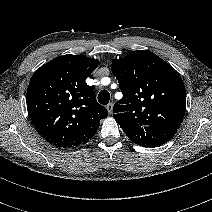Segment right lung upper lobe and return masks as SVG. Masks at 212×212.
<instances>
[{
    "instance_id": "right-lung-upper-lobe-1",
    "label": "right lung upper lobe",
    "mask_w": 212,
    "mask_h": 212,
    "mask_svg": "<svg viewBox=\"0 0 212 212\" xmlns=\"http://www.w3.org/2000/svg\"><path fill=\"white\" fill-rule=\"evenodd\" d=\"M99 61L83 55L58 56L30 79L26 103L40 135L59 148L76 147L92 138L108 111L96 101L86 78Z\"/></svg>"
}]
</instances>
